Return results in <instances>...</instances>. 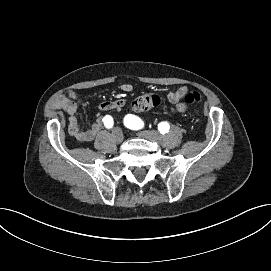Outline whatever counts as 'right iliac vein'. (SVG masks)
I'll list each match as a JSON object with an SVG mask.
<instances>
[{
	"instance_id": "obj_1",
	"label": "right iliac vein",
	"mask_w": 271,
	"mask_h": 271,
	"mask_svg": "<svg viewBox=\"0 0 271 271\" xmlns=\"http://www.w3.org/2000/svg\"><path fill=\"white\" fill-rule=\"evenodd\" d=\"M112 135L116 143H121L123 141L124 136L120 129H115Z\"/></svg>"
}]
</instances>
